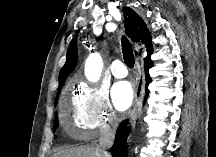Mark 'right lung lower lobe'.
I'll return each instance as SVG.
<instances>
[{
	"instance_id": "1",
	"label": "right lung lower lobe",
	"mask_w": 216,
	"mask_h": 157,
	"mask_svg": "<svg viewBox=\"0 0 216 157\" xmlns=\"http://www.w3.org/2000/svg\"><path fill=\"white\" fill-rule=\"evenodd\" d=\"M145 63V76H146V93L145 100L148 96V85L151 82L148 70L153 66L152 60L149 58L144 61ZM145 102V101H144ZM128 120L123 121L117 129L114 144L111 148L112 157H127L126 140L129 135V129L126 126Z\"/></svg>"
}]
</instances>
